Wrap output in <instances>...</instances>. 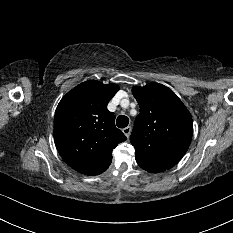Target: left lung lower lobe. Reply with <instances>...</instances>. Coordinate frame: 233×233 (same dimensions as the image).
<instances>
[{"instance_id": "obj_1", "label": "left lung lower lobe", "mask_w": 233, "mask_h": 233, "mask_svg": "<svg viewBox=\"0 0 233 233\" xmlns=\"http://www.w3.org/2000/svg\"><path fill=\"white\" fill-rule=\"evenodd\" d=\"M136 161L141 168H143L144 170L151 172V173H158V172H162V171L166 170V169H163L161 167L149 164V163H147L143 160L137 159V158H136Z\"/></svg>"}]
</instances>
